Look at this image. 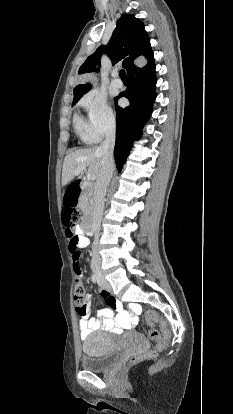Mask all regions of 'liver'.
Returning <instances> with one entry per match:
<instances>
[{"mask_svg": "<svg viewBox=\"0 0 233 414\" xmlns=\"http://www.w3.org/2000/svg\"><path fill=\"white\" fill-rule=\"evenodd\" d=\"M103 155L99 147L79 149L64 158L62 168V186L70 183L75 176V171L83 166L88 167V174H93L97 178L102 169Z\"/></svg>", "mask_w": 233, "mask_h": 414, "instance_id": "obj_1", "label": "liver"}]
</instances>
